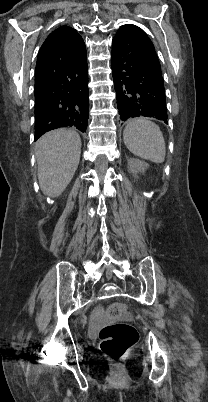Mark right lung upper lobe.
Instances as JSON below:
<instances>
[{
	"label": "right lung upper lobe",
	"instance_id": "1",
	"mask_svg": "<svg viewBox=\"0 0 208 402\" xmlns=\"http://www.w3.org/2000/svg\"><path fill=\"white\" fill-rule=\"evenodd\" d=\"M78 35L76 30L68 26H61L54 30L45 40L40 51L52 47L60 46L70 41L74 36Z\"/></svg>",
	"mask_w": 208,
	"mask_h": 402
}]
</instances>
